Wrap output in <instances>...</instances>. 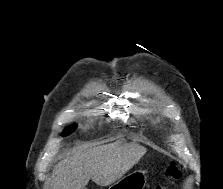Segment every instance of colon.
I'll return each mask as SVG.
<instances>
[{
	"label": "colon",
	"instance_id": "obj_1",
	"mask_svg": "<svg viewBox=\"0 0 223 189\" xmlns=\"http://www.w3.org/2000/svg\"><path fill=\"white\" fill-rule=\"evenodd\" d=\"M180 177L181 170L176 165V163L171 162L165 170L164 182L156 186L154 189H169V186L173 184L176 180H178Z\"/></svg>",
	"mask_w": 223,
	"mask_h": 189
}]
</instances>
